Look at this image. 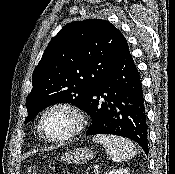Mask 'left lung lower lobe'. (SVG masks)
<instances>
[{
  "label": "left lung lower lobe",
  "instance_id": "obj_1",
  "mask_svg": "<svg viewBox=\"0 0 175 174\" xmlns=\"http://www.w3.org/2000/svg\"><path fill=\"white\" fill-rule=\"evenodd\" d=\"M85 111L92 119L87 135L127 137L137 142L148 155L142 84L128 46L90 93Z\"/></svg>",
  "mask_w": 175,
  "mask_h": 174
}]
</instances>
